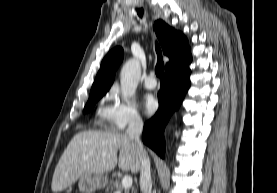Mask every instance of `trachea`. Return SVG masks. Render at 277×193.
I'll return each instance as SVG.
<instances>
[{
  "mask_svg": "<svg viewBox=\"0 0 277 193\" xmlns=\"http://www.w3.org/2000/svg\"><path fill=\"white\" fill-rule=\"evenodd\" d=\"M137 13L140 17H142L143 9H137ZM156 52H157L158 60H157V65L155 67V73L158 77H161L163 76V73H164V62L162 58V52L158 44H156Z\"/></svg>",
  "mask_w": 277,
  "mask_h": 193,
  "instance_id": "3493384b",
  "label": "trachea"
}]
</instances>
